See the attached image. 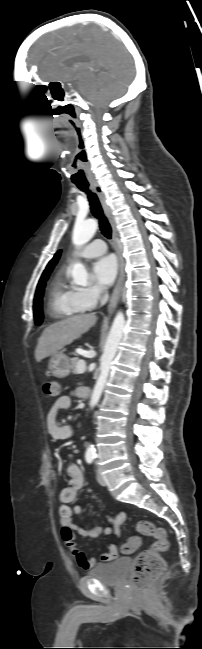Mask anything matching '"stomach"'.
I'll return each mask as SVG.
<instances>
[{
    "instance_id": "stomach-1",
    "label": "stomach",
    "mask_w": 202,
    "mask_h": 649,
    "mask_svg": "<svg viewBox=\"0 0 202 649\" xmlns=\"http://www.w3.org/2000/svg\"><path fill=\"white\" fill-rule=\"evenodd\" d=\"M48 368L54 377L65 378L70 374V360L65 354L58 352L50 358Z\"/></svg>"
}]
</instances>
